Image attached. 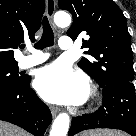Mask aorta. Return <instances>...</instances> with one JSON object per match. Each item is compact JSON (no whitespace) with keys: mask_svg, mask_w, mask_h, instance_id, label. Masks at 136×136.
Listing matches in <instances>:
<instances>
[{"mask_svg":"<svg viewBox=\"0 0 136 136\" xmlns=\"http://www.w3.org/2000/svg\"><path fill=\"white\" fill-rule=\"evenodd\" d=\"M54 22L59 27H67L71 23L68 13L59 11L54 15ZM70 124V117L67 113L59 114L53 122L50 136H66Z\"/></svg>","mask_w":136,"mask_h":136,"instance_id":"762f6f07","label":"aorta"}]
</instances>
